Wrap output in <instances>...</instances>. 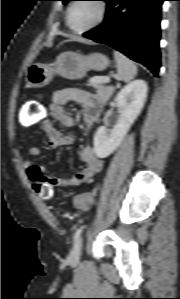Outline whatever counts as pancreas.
Segmentation results:
<instances>
[{"mask_svg": "<svg viewBox=\"0 0 180 299\" xmlns=\"http://www.w3.org/2000/svg\"><path fill=\"white\" fill-rule=\"evenodd\" d=\"M105 79L106 77L100 78L99 81L101 84L96 85L97 98L101 102H106L113 92V89L111 87H106L103 85V83H105Z\"/></svg>", "mask_w": 180, "mask_h": 299, "instance_id": "1", "label": "pancreas"}]
</instances>
